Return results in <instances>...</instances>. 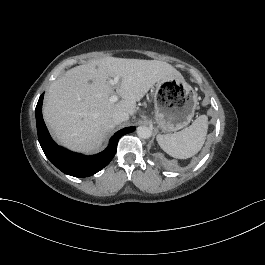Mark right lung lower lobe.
I'll list each match as a JSON object with an SVG mask.
<instances>
[{
	"instance_id": "right-lung-lower-lobe-1",
	"label": "right lung lower lobe",
	"mask_w": 265,
	"mask_h": 265,
	"mask_svg": "<svg viewBox=\"0 0 265 265\" xmlns=\"http://www.w3.org/2000/svg\"><path fill=\"white\" fill-rule=\"evenodd\" d=\"M43 97L42 94L35 109L38 140L47 158L65 174L74 177H87L97 173L113 159L117 151L118 140L123 135L135 130V127H126L119 130L110 139L108 147L99 154L84 156L70 152L59 147L49 135L42 117Z\"/></svg>"
}]
</instances>
